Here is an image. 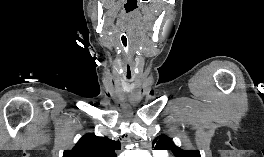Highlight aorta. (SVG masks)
<instances>
[{"label": "aorta", "mask_w": 264, "mask_h": 157, "mask_svg": "<svg viewBox=\"0 0 264 157\" xmlns=\"http://www.w3.org/2000/svg\"><path fill=\"white\" fill-rule=\"evenodd\" d=\"M126 157H149L148 152L141 149L128 150Z\"/></svg>", "instance_id": "aorta-1"}]
</instances>
